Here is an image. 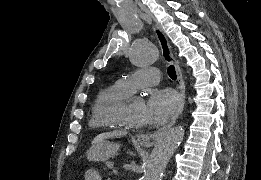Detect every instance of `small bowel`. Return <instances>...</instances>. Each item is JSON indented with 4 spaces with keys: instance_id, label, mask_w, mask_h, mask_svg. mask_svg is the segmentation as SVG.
<instances>
[{
    "instance_id": "c3829d8e",
    "label": "small bowel",
    "mask_w": 261,
    "mask_h": 180,
    "mask_svg": "<svg viewBox=\"0 0 261 180\" xmlns=\"http://www.w3.org/2000/svg\"><path fill=\"white\" fill-rule=\"evenodd\" d=\"M85 179L86 180H99L100 175L97 170L90 168L85 172Z\"/></svg>"
}]
</instances>
